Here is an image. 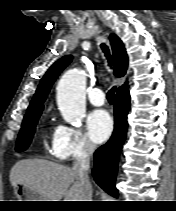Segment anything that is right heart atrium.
I'll list each match as a JSON object with an SVG mask.
<instances>
[{"label": "right heart atrium", "mask_w": 176, "mask_h": 211, "mask_svg": "<svg viewBox=\"0 0 176 211\" xmlns=\"http://www.w3.org/2000/svg\"><path fill=\"white\" fill-rule=\"evenodd\" d=\"M95 149L86 133L78 128L61 124L51 144L52 154L61 160H74L89 156Z\"/></svg>", "instance_id": "d8ad5b80"}]
</instances>
